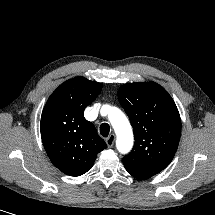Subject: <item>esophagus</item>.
I'll list each match as a JSON object with an SVG mask.
<instances>
[{"mask_svg":"<svg viewBox=\"0 0 215 215\" xmlns=\"http://www.w3.org/2000/svg\"><path fill=\"white\" fill-rule=\"evenodd\" d=\"M115 142V135L111 134L107 139H106V144L108 147H112Z\"/></svg>","mask_w":215,"mask_h":215,"instance_id":"1","label":"esophagus"}]
</instances>
